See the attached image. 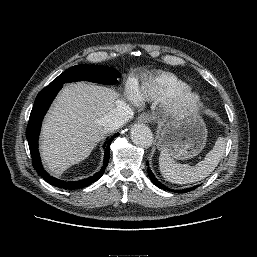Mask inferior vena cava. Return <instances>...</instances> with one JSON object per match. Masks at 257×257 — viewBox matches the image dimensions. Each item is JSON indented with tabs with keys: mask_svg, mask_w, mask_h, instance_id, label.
Here are the masks:
<instances>
[{
	"mask_svg": "<svg viewBox=\"0 0 257 257\" xmlns=\"http://www.w3.org/2000/svg\"><path fill=\"white\" fill-rule=\"evenodd\" d=\"M133 110L125 104H120L100 119V124L108 131L116 130L133 116Z\"/></svg>",
	"mask_w": 257,
	"mask_h": 257,
	"instance_id": "1",
	"label": "inferior vena cava"
}]
</instances>
